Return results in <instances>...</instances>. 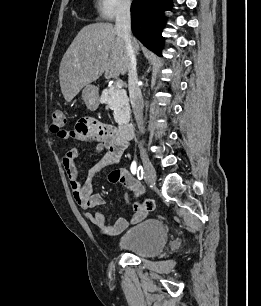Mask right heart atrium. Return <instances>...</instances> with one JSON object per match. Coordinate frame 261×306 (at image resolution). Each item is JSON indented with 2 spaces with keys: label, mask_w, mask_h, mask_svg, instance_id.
I'll use <instances>...</instances> for the list:
<instances>
[{
  "label": "right heart atrium",
  "mask_w": 261,
  "mask_h": 306,
  "mask_svg": "<svg viewBox=\"0 0 261 306\" xmlns=\"http://www.w3.org/2000/svg\"><path fill=\"white\" fill-rule=\"evenodd\" d=\"M94 7L99 18L112 20L130 9L131 0H95Z\"/></svg>",
  "instance_id": "right-heart-atrium-1"
}]
</instances>
